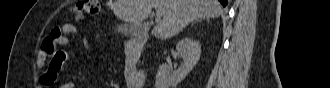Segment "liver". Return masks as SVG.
Listing matches in <instances>:
<instances>
[{
	"label": "liver",
	"instance_id": "1",
	"mask_svg": "<svg viewBox=\"0 0 330 88\" xmlns=\"http://www.w3.org/2000/svg\"><path fill=\"white\" fill-rule=\"evenodd\" d=\"M107 6L118 18L136 26L153 7L163 11V19L151 31L158 39L175 36L193 20L218 18L222 13L217 0H115Z\"/></svg>",
	"mask_w": 330,
	"mask_h": 88
}]
</instances>
